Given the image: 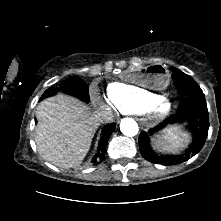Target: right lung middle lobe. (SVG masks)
<instances>
[{
  "label": "right lung middle lobe",
  "instance_id": "dd1d6c3e",
  "mask_svg": "<svg viewBox=\"0 0 221 221\" xmlns=\"http://www.w3.org/2000/svg\"><path fill=\"white\" fill-rule=\"evenodd\" d=\"M62 89L72 95H75L85 101H87L89 99V94H88V87L87 85L84 83V81H82L79 78L76 77H72L70 79H68L67 81H65L62 84ZM55 94V90L54 89H48L44 92V94L41 96V99L51 96Z\"/></svg>",
  "mask_w": 221,
  "mask_h": 221
}]
</instances>
